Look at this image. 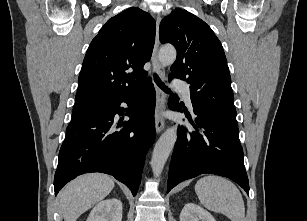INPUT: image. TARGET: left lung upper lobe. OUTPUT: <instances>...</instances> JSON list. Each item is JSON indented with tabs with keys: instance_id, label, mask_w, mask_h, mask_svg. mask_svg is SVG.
Returning a JSON list of instances; mask_svg holds the SVG:
<instances>
[{
	"instance_id": "5c2ea615",
	"label": "left lung upper lobe",
	"mask_w": 307,
	"mask_h": 221,
	"mask_svg": "<svg viewBox=\"0 0 307 221\" xmlns=\"http://www.w3.org/2000/svg\"><path fill=\"white\" fill-rule=\"evenodd\" d=\"M159 34L161 43H172L177 50L169 79L185 80L192 104L237 125L226 57L212 29L192 13L177 9L163 18Z\"/></svg>"
}]
</instances>
